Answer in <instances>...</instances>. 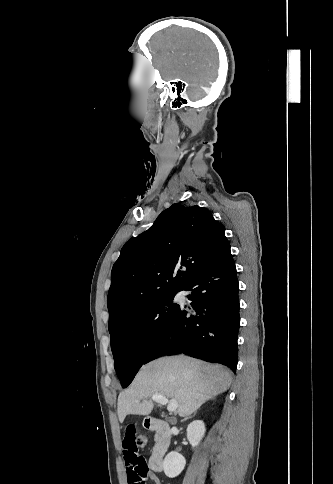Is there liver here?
<instances>
[{"instance_id":"6515ba94","label":"liver","mask_w":333,"mask_h":484,"mask_svg":"<svg viewBox=\"0 0 333 484\" xmlns=\"http://www.w3.org/2000/svg\"><path fill=\"white\" fill-rule=\"evenodd\" d=\"M231 374L220 365L186 357L159 358L144 365L128 389L118 397L120 423L127 415H149L155 394L175 399L181 417L195 412L205 401L227 391ZM142 401V402H140Z\"/></svg>"}]
</instances>
